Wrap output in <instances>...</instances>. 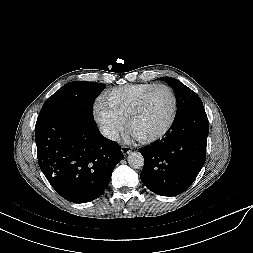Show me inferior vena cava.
I'll use <instances>...</instances> for the list:
<instances>
[{
    "mask_svg": "<svg viewBox=\"0 0 253 253\" xmlns=\"http://www.w3.org/2000/svg\"><path fill=\"white\" fill-rule=\"evenodd\" d=\"M99 130H100V133L104 137L111 140H119V133L115 129L111 128L110 126L108 125L100 126Z\"/></svg>",
    "mask_w": 253,
    "mask_h": 253,
    "instance_id": "602c4592",
    "label": "inferior vena cava"
}]
</instances>
